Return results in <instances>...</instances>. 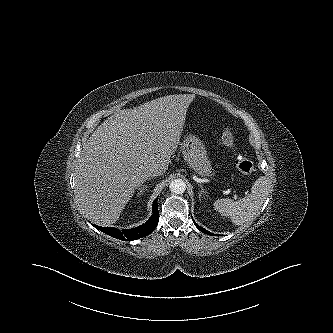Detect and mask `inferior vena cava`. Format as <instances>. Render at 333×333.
<instances>
[{"label": "inferior vena cava", "instance_id": "inferior-vena-cava-1", "mask_svg": "<svg viewBox=\"0 0 333 333\" xmlns=\"http://www.w3.org/2000/svg\"><path fill=\"white\" fill-rule=\"evenodd\" d=\"M162 175V171L159 168H152L149 170L146 178Z\"/></svg>", "mask_w": 333, "mask_h": 333}]
</instances>
